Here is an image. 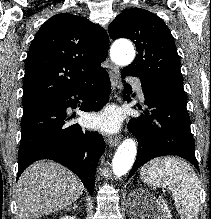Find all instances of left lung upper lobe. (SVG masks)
Here are the masks:
<instances>
[{"label":"left lung upper lobe","mask_w":211,"mask_h":219,"mask_svg":"<svg viewBox=\"0 0 211 219\" xmlns=\"http://www.w3.org/2000/svg\"><path fill=\"white\" fill-rule=\"evenodd\" d=\"M108 29L112 39L128 38L136 45L138 54L135 60L122 71L145 82L183 84L173 36L157 15L140 8L125 9Z\"/></svg>","instance_id":"1"}]
</instances>
